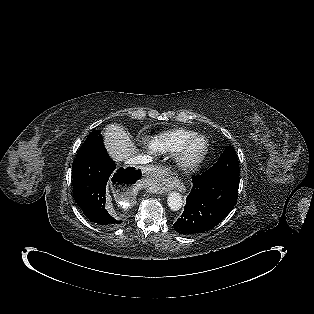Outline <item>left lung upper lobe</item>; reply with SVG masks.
Returning a JSON list of instances; mask_svg holds the SVG:
<instances>
[{"instance_id":"5c2ea615","label":"left lung upper lobe","mask_w":314,"mask_h":314,"mask_svg":"<svg viewBox=\"0 0 314 314\" xmlns=\"http://www.w3.org/2000/svg\"><path fill=\"white\" fill-rule=\"evenodd\" d=\"M204 173L207 175H239V163L234 148L229 145L219 160Z\"/></svg>"}]
</instances>
